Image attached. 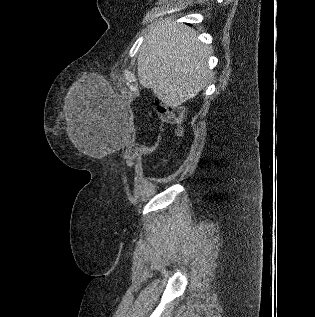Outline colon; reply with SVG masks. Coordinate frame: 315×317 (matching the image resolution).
I'll return each mask as SVG.
<instances>
[{
    "instance_id": "obj_1",
    "label": "colon",
    "mask_w": 315,
    "mask_h": 317,
    "mask_svg": "<svg viewBox=\"0 0 315 317\" xmlns=\"http://www.w3.org/2000/svg\"><path fill=\"white\" fill-rule=\"evenodd\" d=\"M157 112L163 124H171L177 126V133H182V123L184 121V109L181 107H163L158 105ZM157 148V143L145 145L137 144L129 149L130 159L137 156L148 155L153 153Z\"/></svg>"
}]
</instances>
